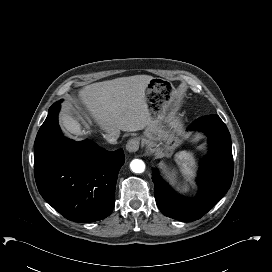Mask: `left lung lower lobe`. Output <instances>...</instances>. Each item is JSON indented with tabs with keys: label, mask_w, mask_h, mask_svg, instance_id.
<instances>
[{
	"label": "left lung lower lobe",
	"mask_w": 272,
	"mask_h": 272,
	"mask_svg": "<svg viewBox=\"0 0 272 272\" xmlns=\"http://www.w3.org/2000/svg\"><path fill=\"white\" fill-rule=\"evenodd\" d=\"M188 130L204 132L210 150L201 163L197 179L199 193L187 198L174 193L158 172L152 174L157 206L161 212L181 221H193L206 214L228 191L233 179V156L230 133L218 115L196 119Z\"/></svg>",
	"instance_id": "1"
}]
</instances>
